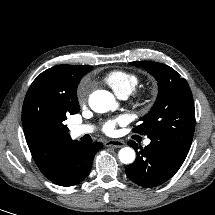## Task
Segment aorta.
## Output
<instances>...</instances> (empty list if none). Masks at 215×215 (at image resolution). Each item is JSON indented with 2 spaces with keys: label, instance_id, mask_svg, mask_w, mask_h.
<instances>
[{
  "label": "aorta",
  "instance_id": "1",
  "mask_svg": "<svg viewBox=\"0 0 215 215\" xmlns=\"http://www.w3.org/2000/svg\"><path fill=\"white\" fill-rule=\"evenodd\" d=\"M89 106L97 113H105L116 108L117 104L113 94L106 90H97L90 95ZM118 156L122 163L131 164L135 160V151L130 147H124Z\"/></svg>",
  "mask_w": 215,
  "mask_h": 215
}]
</instances>
